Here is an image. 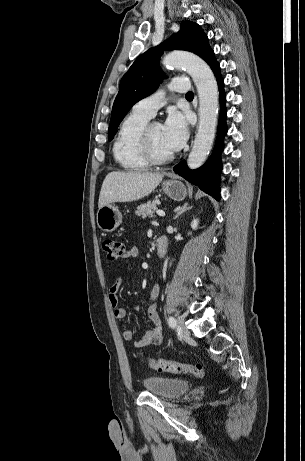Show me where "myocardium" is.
<instances>
[{
    "instance_id": "f54148a6",
    "label": "myocardium",
    "mask_w": 305,
    "mask_h": 461,
    "mask_svg": "<svg viewBox=\"0 0 305 461\" xmlns=\"http://www.w3.org/2000/svg\"><path fill=\"white\" fill-rule=\"evenodd\" d=\"M155 124H157V122H148L144 126L139 141L140 149L144 158L150 164H164L170 162L174 158V154L170 153L167 155L160 156L156 154V152L154 151L151 141V129Z\"/></svg>"
}]
</instances>
